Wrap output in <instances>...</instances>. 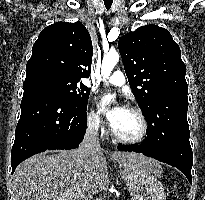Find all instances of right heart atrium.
Returning a JSON list of instances; mask_svg holds the SVG:
<instances>
[{
  "mask_svg": "<svg viewBox=\"0 0 205 200\" xmlns=\"http://www.w3.org/2000/svg\"><path fill=\"white\" fill-rule=\"evenodd\" d=\"M87 125L89 129L95 133H99L103 130V120L97 110L90 109L88 111Z\"/></svg>",
  "mask_w": 205,
  "mask_h": 200,
  "instance_id": "obj_1",
  "label": "right heart atrium"
}]
</instances>
